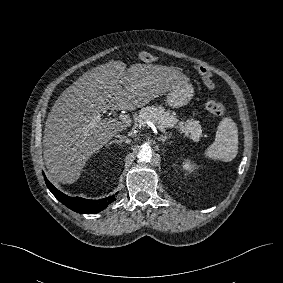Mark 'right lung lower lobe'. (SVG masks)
<instances>
[{
  "label": "right lung lower lobe",
  "mask_w": 283,
  "mask_h": 283,
  "mask_svg": "<svg viewBox=\"0 0 283 283\" xmlns=\"http://www.w3.org/2000/svg\"><path fill=\"white\" fill-rule=\"evenodd\" d=\"M44 175V173H43ZM48 189L65 206L81 214H95L105 209L116 200L115 195L100 200H88L81 197H69L56 189L46 177H44Z\"/></svg>",
  "instance_id": "98d812e1"
}]
</instances>
